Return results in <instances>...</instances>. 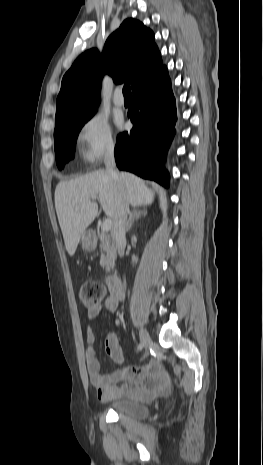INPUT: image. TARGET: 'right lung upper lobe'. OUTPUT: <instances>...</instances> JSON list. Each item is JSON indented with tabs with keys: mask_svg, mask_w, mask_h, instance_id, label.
<instances>
[{
	"mask_svg": "<svg viewBox=\"0 0 263 465\" xmlns=\"http://www.w3.org/2000/svg\"><path fill=\"white\" fill-rule=\"evenodd\" d=\"M163 67L153 32L138 20H124L106 40L102 54L88 50L66 72L57 97L55 123L72 112L97 107L105 73L117 84L130 82L133 90Z\"/></svg>",
	"mask_w": 263,
	"mask_h": 465,
	"instance_id": "1",
	"label": "right lung upper lobe"
}]
</instances>
